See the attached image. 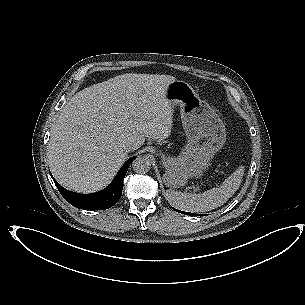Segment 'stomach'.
I'll use <instances>...</instances> for the list:
<instances>
[{"instance_id":"1","label":"stomach","mask_w":305,"mask_h":305,"mask_svg":"<svg viewBox=\"0 0 305 305\" xmlns=\"http://www.w3.org/2000/svg\"><path fill=\"white\" fill-rule=\"evenodd\" d=\"M164 98L173 107H180L187 137V143L178 156L161 154L166 185L179 188L185 186L189 179L202 176L213 155L225 143L226 134L216 112L200 99L187 82L172 81L165 90Z\"/></svg>"}]
</instances>
